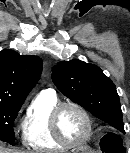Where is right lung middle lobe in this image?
<instances>
[{"label": "right lung middle lobe", "mask_w": 130, "mask_h": 153, "mask_svg": "<svg viewBox=\"0 0 130 153\" xmlns=\"http://www.w3.org/2000/svg\"><path fill=\"white\" fill-rule=\"evenodd\" d=\"M22 104L0 102V140L8 143L15 141L13 122Z\"/></svg>", "instance_id": "obj_1"}]
</instances>
